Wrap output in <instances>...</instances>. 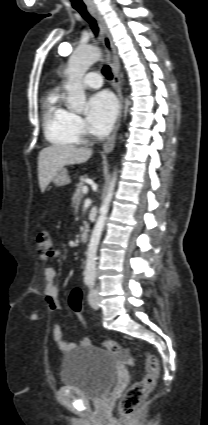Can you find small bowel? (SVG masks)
I'll list each match as a JSON object with an SVG mask.
<instances>
[{
	"label": "small bowel",
	"mask_w": 208,
	"mask_h": 425,
	"mask_svg": "<svg viewBox=\"0 0 208 425\" xmlns=\"http://www.w3.org/2000/svg\"><path fill=\"white\" fill-rule=\"evenodd\" d=\"M57 255H58L57 251H54L50 255L41 254L40 260L42 262H47L49 261L51 257H55ZM44 279H45L44 293H45L47 306L51 311L57 312L61 309V306L58 300L59 287L57 283L55 269L52 267H47L44 271ZM53 338L55 343L59 347V349L62 350L63 352H68L72 350L73 348H75L76 346L74 343H68L64 339L61 326L57 321L54 323V326H53ZM89 342L90 341L88 338H84L81 340L80 344L88 345Z\"/></svg>",
	"instance_id": "1"
}]
</instances>
